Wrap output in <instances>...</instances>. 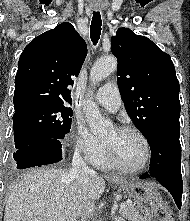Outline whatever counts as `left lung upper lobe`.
Segmentation results:
<instances>
[{
	"label": "left lung upper lobe",
	"mask_w": 190,
	"mask_h": 221,
	"mask_svg": "<svg viewBox=\"0 0 190 221\" xmlns=\"http://www.w3.org/2000/svg\"><path fill=\"white\" fill-rule=\"evenodd\" d=\"M111 52L121 98L141 133L148 138L160 128H180V87L170 56L128 28L111 38Z\"/></svg>",
	"instance_id": "obj_1"
}]
</instances>
